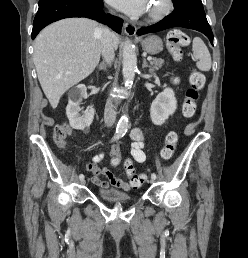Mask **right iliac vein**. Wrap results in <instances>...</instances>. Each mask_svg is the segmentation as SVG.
<instances>
[{
	"label": "right iliac vein",
	"mask_w": 248,
	"mask_h": 258,
	"mask_svg": "<svg viewBox=\"0 0 248 258\" xmlns=\"http://www.w3.org/2000/svg\"><path fill=\"white\" fill-rule=\"evenodd\" d=\"M81 184H85V180L83 179V180H81Z\"/></svg>",
	"instance_id": "right-iliac-vein-1"
}]
</instances>
